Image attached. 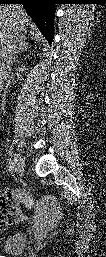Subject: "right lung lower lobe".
<instances>
[{
  "mask_svg": "<svg viewBox=\"0 0 106 257\" xmlns=\"http://www.w3.org/2000/svg\"><path fill=\"white\" fill-rule=\"evenodd\" d=\"M1 4H22L49 43L53 41L54 0H0Z\"/></svg>",
  "mask_w": 106,
  "mask_h": 257,
  "instance_id": "obj_1",
  "label": "right lung lower lobe"
}]
</instances>
